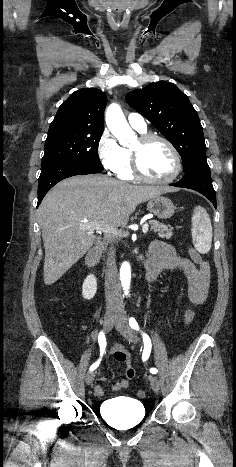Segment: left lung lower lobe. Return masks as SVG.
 Returning <instances> with one entry per match:
<instances>
[{
	"instance_id": "1",
	"label": "left lung lower lobe",
	"mask_w": 236,
	"mask_h": 467,
	"mask_svg": "<svg viewBox=\"0 0 236 467\" xmlns=\"http://www.w3.org/2000/svg\"><path fill=\"white\" fill-rule=\"evenodd\" d=\"M172 186L195 190L206 196L216 208V194L211 181L210 168L207 163L199 164L185 172L184 177Z\"/></svg>"
}]
</instances>
